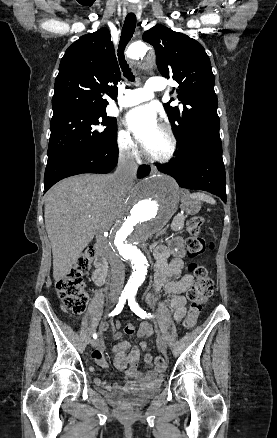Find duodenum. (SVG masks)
<instances>
[{
    "label": "duodenum",
    "mask_w": 277,
    "mask_h": 438,
    "mask_svg": "<svg viewBox=\"0 0 277 438\" xmlns=\"http://www.w3.org/2000/svg\"><path fill=\"white\" fill-rule=\"evenodd\" d=\"M95 250H96V258H95L96 270L93 274V280L96 284L101 285L106 279L108 272V264L100 245H96Z\"/></svg>",
    "instance_id": "obj_1"
}]
</instances>
